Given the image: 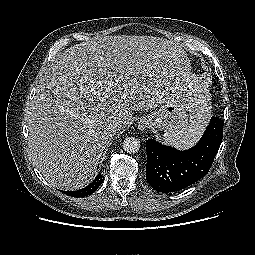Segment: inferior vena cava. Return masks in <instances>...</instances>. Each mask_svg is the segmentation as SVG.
Instances as JSON below:
<instances>
[{
  "mask_svg": "<svg viewBox=\"0 0 255 255\" xmlns=\"http://www.w3.org/2000/svg\"><path fill=\"white\" fill-rule=\"evenodd\" d=\"M109 127L112 131H115L119 127V120L114 118L109 122Z\"/></svg>",
  "mask_w": 255,
  "mask_h": 255,
  "instance_id": "1",
  "label": "inferior vena cava"
}]
</instances>
